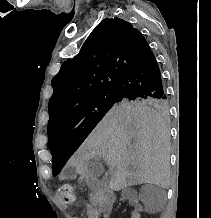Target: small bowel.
Wrapping results in <instances>:
<instances>
[{"mask_svg": "<svg viewBox=\"0 0 211 218\" xmlns=\"http://www.w3.org/2000/svg\"><path fill=\"white\" fill-rule=\"evenodd\" d=\"M86 218H99L98 210L94 208H89L86 212Z\"/></svg>", "mask_w": 211, "mask_h": 218, "instance_id": "obj_1", "label": "small bowel"}]
</instances>
